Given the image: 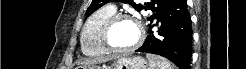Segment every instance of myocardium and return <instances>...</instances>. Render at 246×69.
<instances>
[{
	"label": "myocardium",
	"instance_id": "myocardium-1",
	"mask_svg": "<svg viewBox=\"0 0 246 69\" xmlns=\"http://www.w3.org/2000/svg\"><path fill=\"white\" fill-rule=\"evenodd\" d=\"M120 20L132 21L135 24L137 31H138V37H137L136 42L133 45L127 48H123V49L116 48L110 43V33L112 31V28ZM144 37H145V33H144V28H143L142 23L136 17L128 13L113 14L105 21L102 27V30H101V38H102V43L104 47L109 52L114 53V54H124L130 51L136 50L143 43Z\"/></svg>",
	"mask_w": 246,
	"mask_h": 69
}]
</instances>
